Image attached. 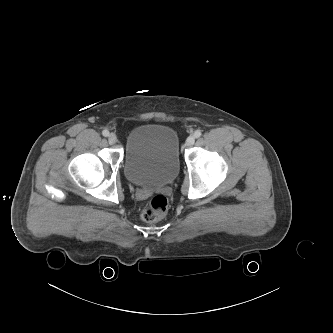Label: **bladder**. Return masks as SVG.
Listing matches in <instances>:
<instances>
[{
	"instance_id": "1",
	"label": "bladder",
	"mask_w": 333,
	"mask_h": 333,
	"mask_svg": "<svg viewBox=\"0 0 333 333\" xmlns=\"http://www.w3.org/2000/svg\"><path fill=\"white\" fill-rule=\"evenodd\" d=\"M180 169L179 136L166 124L146 123L126 139L123 171L133 184L145 187L171 183Z\"/></svg>"
}]
</instances>
